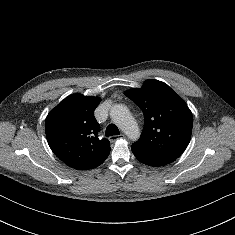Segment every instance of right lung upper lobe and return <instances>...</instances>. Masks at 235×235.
<instances>
[{"mask_svg": "<svg viewBox=\"0 0 235 235\" xmlns=\"http://www.w3.org/2000/svg\"><path fill=\"white\" fill-rule=\"evenodd\" d=\"M101 99L73 94L50 111L45 120L48 144L66 165L80 170L98 167L110 153L108 139L100 140L94 110Z\"/></svg>", "mask_w": 235, "mask_h": 235, "instance_id": "cb5924a9", "label": "right lung upper lobe"}]
</instances>
